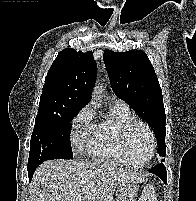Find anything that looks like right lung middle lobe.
<instances>
[{"mask_svg":"<svg viewBox=\"0 0 196 201\" xmlns=\"http://www.w3.org/2000/svg\"><path fill=\"white\" fill-rule=\"evenodd\" d=\"M81 108L61 112H39L31 136L28 167L46 160L72 159L70 122Z\"/></svg>","mask_w":196,"mask_h":201,"instance_id":"dd1d6c3e","label":"right lung middle lobe"}]
</instances>
